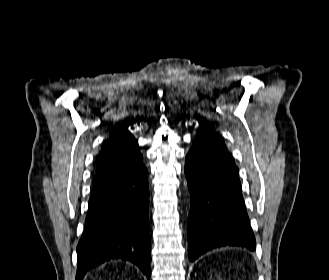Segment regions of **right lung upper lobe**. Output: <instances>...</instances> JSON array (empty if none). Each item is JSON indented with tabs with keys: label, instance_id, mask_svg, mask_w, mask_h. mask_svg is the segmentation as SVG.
I'll return each mask as SVG.
<instances>
[{
	"label": "right lung upper lobe",
	"instance_id": "1",
	"mask_svg": "<svg viewBox=\"0 0 329 280\" xmlns=\"http://www.w3.org/2000/svg\"><path fill=\"white\" fill-rule=\"evenodd\" d=\"M138 142L128 131V125L121 126L107 139L96 159V174L117 168H134L142 165V155L137 150Z\"/></svg>",
	"mask_w": 329,
	"mask_h": 280
}]
</instances>
